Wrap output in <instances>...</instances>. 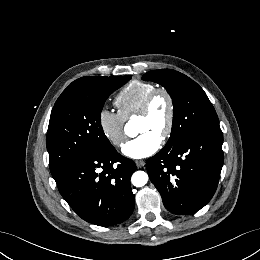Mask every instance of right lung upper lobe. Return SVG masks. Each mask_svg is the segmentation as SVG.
<instances>
[{
    "mask_svg": "<svg viewBox=\"0 0 260 260\" xmlns=\"http://www.w3.org/2000/svg\"><path fill=\"white\" fill-rule=\"evenodd\" d=\"M102 77H83L72 82L60 95L59 99L69 97L77 92H85Z\"/></svg>",
    "mask_w": 260,
    "mask_h": 260,
    "instance_id": "cb5924a9",
    "label": "right lung upper lobe"
}]
</instances>
